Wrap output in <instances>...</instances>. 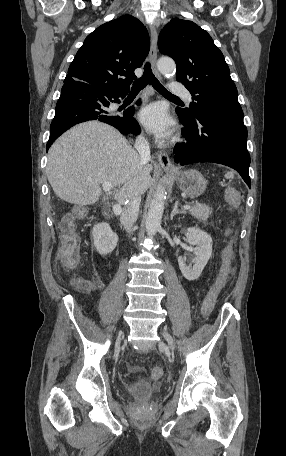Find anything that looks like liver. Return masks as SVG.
Returning <instances> with one entry per match:
<instances>
[{
  "label": "liver",
  "mask_w": 286,
  "mask_h": 456,
  "mask_svg": "<svg viewBox=\"0 0 286 456\" xmlns=\"http://www.w3.org/2000/svg\"><path fill=\"white\" fill-rule=\"evenodd\" d=\"M152 169L151 164H141L140 155L116 129L90 121L71 128L51 146L46 171L60 199L83 206L98 201L104 182L121 187L119 204L136 185L143 194L150 187Z\"/></svg>",
  "instance_id": "liver-1"
}]
</instances>
